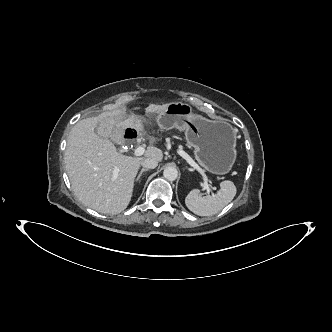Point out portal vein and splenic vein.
I'll return each mask as SVG.
<instances>
[{
	"label": "portal vein and splenic vein",
	"instance_id": "18ae733b",
	"mask_svg": "<svg viewBox=\"0 0 332 332\" xmlns=\"http://www.w3.org/2000/svg\"><path fill=\"white\" fill-rule=\"evenodd\" d=\"M144 153L145 149L141 146L137 147L134 151L135 156H142ZM178 154L181 155L195 169H199L198 165L184 151H178ZM115 172H118L117 168L115 169Z\"/></svg>",
	"mask_w": 332,
	"mask_h": 332
}]
</instances>
